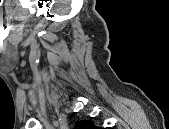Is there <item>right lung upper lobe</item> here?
<instances>
[{
	"mask_svg": "<svg viewBox=\"0 0 169 129\" xmlns=\"http://www.w3.org/2000/svg\"><path fill=\"white\" fill-rule=\"evenodd\" d=\"M77 129H93L95 128L93 122L91 120L88 121H80L75 125Z\"/></svg>",
	"mask_w": 169,
	"mask_h": 129,
	"instance_id": "1",
	"label": "right lung upper lobe"
}]
</instances>
